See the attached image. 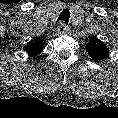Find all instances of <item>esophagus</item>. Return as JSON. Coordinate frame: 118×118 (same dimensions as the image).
I'll return each mask as SVG.
<instances>
[{"label":"esophagus","instance_id":"obj_1","mask_svg":"<svg viewBox=\"0 0 118 118\" xmlns=\"http://www.w3.org/2000/svg\"><path fill=\"white\" fill-rule=\"evenodd\" d=\"M68 31H69V29L64 24H60L57 27L58 34H66V33H68Z\"/></svg>","mask_w":118,"mask_h":118}]
</instances>
